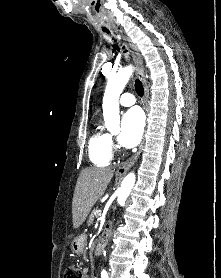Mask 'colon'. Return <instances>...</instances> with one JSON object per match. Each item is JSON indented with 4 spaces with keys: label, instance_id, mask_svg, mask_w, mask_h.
Segmentation results:
<instances>
[{
    "label": "colon",
    "instance_id": "colon-1",
    "mask_svg": "<svg viewBox=\"0 0 221 278\" xmlns=\"http://www.w3.org/2000/svg\"><path fill=\"white\" fill-rule=\"evenodd\" d=\"M64 278H84V274L79 267L69 266L65 271Z\"/></svg>",
    "mask_w": 221,
    "mask_h": 278
}]
</instances>
